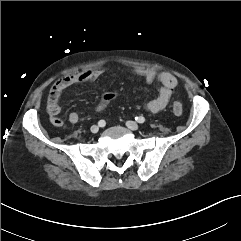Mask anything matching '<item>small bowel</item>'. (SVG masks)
I'll use <instances>...</instances> for the list:
<instances>
[{"label": "small bowel", "instance_id": "1", "mask_svg": "<svg viewBox=\"0 0 241 241\" xmlns=\"http://www.w3.org/2000/svg\"><path fill=\"white\" fill-rule=\"evenodd\" d=\"M104 74L105 70L102 68L89 69L72 73L58 80L52 86L47 102V112L52 125L56 127L63 125V121L58 117L61 111L59 99L68 88L82 83L94 82ZM131 75L141 77L149 84L158 83L160 85L158 95L146 103V109L152 113L160 112L167 106L178 84L177 78L173 74L168 72L157 73L151 68H136L131 71ZM111 100L104 102L101 99L96 104L95 111L104 110ZM68 121L72 124L77 123L79 121L78 113L71 112L68 115Z\"/></svg>", "mask_w": 241, "mask_h": 241}]
</instances>
